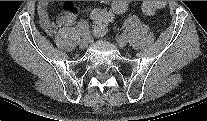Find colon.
<instances>
[{
    "instance_id": "colon-1",
    "label": "colon",
    "mask_w": 207,
    "mask_h": 121,
    "mask_svg": "<svg viewBox=\"0 0 207 121\" xmlns=\"http://www.w3.org/2000/svg\"><path fill=\"white\" fill-rule=\"evenodd\" d=\"M127 2L112 1L110 8H97L91 13L93 30L96 34H103L114 15H120L127 9ZM165 6L163 1H144L141 4V10L146 15H152Z\"/></svg>"
}]
</instances>
